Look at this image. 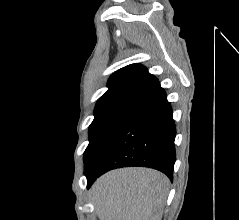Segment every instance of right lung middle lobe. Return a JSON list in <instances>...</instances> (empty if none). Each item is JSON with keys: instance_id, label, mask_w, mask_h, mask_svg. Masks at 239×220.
Segmentation results:
<instances>
[{"instance_id": "1", "label": "right lung middle lobe", "mask_w": 239, "mask_h": 220, "mask_svg": "<svg viewBox=\"0 0 239 220\" xmlns=\"http://www.w3.org/2000/svg\"><path fill=\"white\" fill-rule=\"evenodd\" d=\"M132 106H123L95 114L89 127V145L84 152V172L95 166Z\"/></svg>"}]
</instances>
